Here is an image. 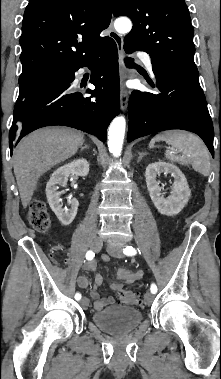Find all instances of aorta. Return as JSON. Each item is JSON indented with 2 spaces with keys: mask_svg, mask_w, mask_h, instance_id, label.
<instances>
[{
  "mask_svg": "<svg viewBox=\"0 0 221 379\" xmlns=\"http://www.w3.org/2000/svg\"><path fill=\"white\" fill-rule=\"evenodd\" d=\"M115 29L119 33H128L132 28L130 19L122 17L116 19L114 23ZM126 120L123 116L113 119L108 129V148L114 157L121 155L124 136H125Z\"/></svg>",
  "mask_w": 221,
  "mask_h": 379,
  "instance_id": "762f6f07",
  "label": "aorta"
}]
</instances>
